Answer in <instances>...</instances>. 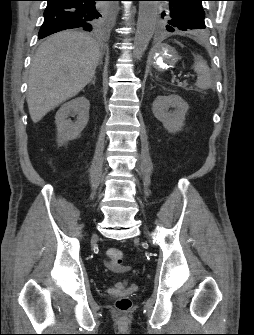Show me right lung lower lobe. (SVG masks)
Masks as SVG:
<instances>
[{"instance_id":"obj_1","label":"right lung lower lobe","mask_w":254,"mask_h":335,"mask_svg":"<svg viewBox=\"0 0 254 335\" xmlns=\"http://www.w3.org/2000/svg\"><path fill=\"white\" fill-rule=\"evenodd\" d=\"M96 1L99 0H47L39 39L65 29L83 28L91 31L99 11L95 6Z\"/></svg>"}]
</instances>
